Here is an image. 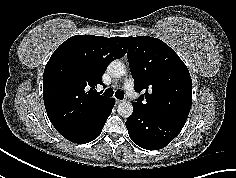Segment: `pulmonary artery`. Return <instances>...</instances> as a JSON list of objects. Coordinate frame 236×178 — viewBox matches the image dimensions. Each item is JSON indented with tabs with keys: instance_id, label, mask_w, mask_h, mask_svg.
<instances>
[{
	"instance_id": "pulmonary-artery-1",
	"label": "pulmonary artery",
	"mask_w": 236,
	"mask_h": 178,
	"mask_svg": "<svg viewBox=\"0 0 236 178\" xmlns=\"http://www.w3.org/2000/svg\"><path fill=\"white\" fill-rule=\"evenodd\" d=\"M125 90H126V93L129 97L131 98H136L137 94L136 92L134 91L133 89V86L132 84H130L129 82L125 83Z\"/></svg>"
}]
</instances>
